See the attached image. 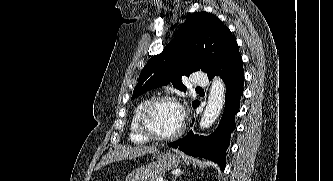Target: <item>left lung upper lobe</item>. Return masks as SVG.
<instances>
[{
  "label": "left lung upper lobe",
  "mask_w": 333,
  "mask_h": 181,
  "mask_svg": "<svg viewBox=\"0 0 333 181\" xmlns=\"http://www.w3.org/2000/svg\"><path fill=\"white\" fill-rule=\"evenodd\" d=\"M236 46L231 31L218 17L205 11L192 14L163 52L145 65L131 99L170 82L175 88L185 91L187 88L181 81L182 76L198 70L209 75ZM197 103L194 101L192 104L195 106Z\"/></svg>",
  "instance_id": "1"
}]
</instances>
